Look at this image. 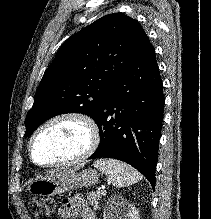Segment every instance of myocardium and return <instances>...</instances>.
I'll return each mask as SVG.
<instances>
[{"instance_id": "1", "label": "myocardium", "mask_w": 211, "mask_h": 219, "mask_svg": "<svg viewBox=\"0 0 211 219\" xmlns=\"http://www.w3.org/2000/svg\"><path fill=\"white\" fill-rule=\"evenodd\" d=\"M60 120H74L83 124L88 132L87 145L80 154H78L72 159L64 160L61 162L50 163V164H41L37 162L34 158L33 150H32L33 144L36 138L38 137V135L42 132V130H44L47 126L51 125L52 123ZM99 141H100L99 128L96 122L90 116L81 112L67 111L53 115L52 117L48 118L43 123H41L31 135L30 140L28 142L27 150H28L29 158L34 165L41 168H62V167L74 166L88 159L97 149L99 145Z\"/></svg>"}]
</instances>
